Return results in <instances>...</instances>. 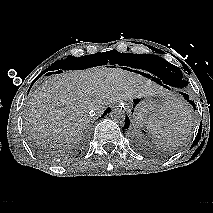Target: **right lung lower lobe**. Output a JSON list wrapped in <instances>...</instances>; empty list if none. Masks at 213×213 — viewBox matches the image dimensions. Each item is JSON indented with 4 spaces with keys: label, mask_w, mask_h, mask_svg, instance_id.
Listing matches in <instances>:
<instances>
[{
    "label": "right lung lower lobe",
    "mask_w": 213,
    "mask_h": 213,
    "mask_svg": "<svg viewBox=\"0 0 213 213\" xmlns=\"http://www.w3.org/2000/svg\"><path fill=\"white\" fill-rule=\"evenodd\" d=\"M60 72H62V71H61V70H58V71H55V72L53 71V72H49V73H47L46 75H50V74H52V73H60ZM36 79H37V78H36ZM34 82H35V80H34ZM34 82H33V83H34ZM33 83H32V84H33ZM110 111H111V109H110V108H108V109L104 112V114H103V115H105V113H106V112H110Z\"/></svg>",
    "instance_id": "right-lung-lower-lobe-1"
}]
</instances>
